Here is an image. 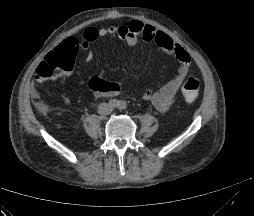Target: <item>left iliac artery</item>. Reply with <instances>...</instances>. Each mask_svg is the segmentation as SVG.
<instances>
[{"instance_id": "left-iliac-artery-1", "label": "left iliac artery", "mask_w": 254, "mask_h": 216, "mask_svg": "<svg viewBox=\"0 0 254 216\" xmlns=\"http://www.w3.org/2000/svg\"><path fill=\"white\" fill-rule=\"evenodd\" d=\"M126 107H127V105H126V102H125V101H119V103H118V108H119L120 110H125Z\"/></svg>"}]
</instances>
